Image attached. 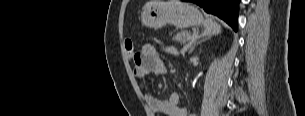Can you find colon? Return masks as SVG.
<instances>
[{"instance_id":"colon-1","label":"colon","mask_w":305,"mask_h":116,"mask_svg":"<svg viewBox=\"0 0 305 116\" xmlns=\"http://www.w3.org/2000/svg\"><path fill=\"white\" fill-rule=\"evenodd\" d=\"M124 47H125V53H126L127 57L130 60H132V59L135 60L137 57V54H135V51H134V43H133L132 38H127L125 40Z\"/></svg>"}]
</instances>
